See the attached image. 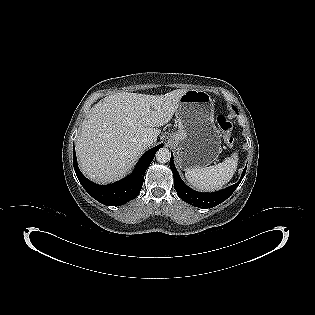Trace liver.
Returning <instances> with one entry per match:
<instances>
[{"label":"liver","mask_w":315,"mask_h":315,"mask_svg":"<svg viewBox=\"0 0 315 315\" xmlns=\"http://www.w3.org/2000/svg\"><path fill=\"white\" fill-rule=\"evenodd\" d=\"M186 89L164 95L129 92L111 94L95 104L86 115L76 142L81 171L96 183H109L126 175L148 146L154 143L161 127L179 106Z\"/></svg>","instance_id":"1"}]
</instances>
